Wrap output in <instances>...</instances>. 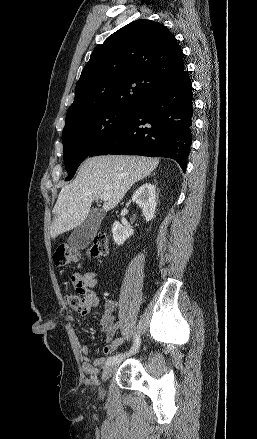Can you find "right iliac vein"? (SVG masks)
I'll use <instances>...</instances> for the list:
<instances>
[{"label": "right iliac vein", "mask_w": 257, "mask_h": 439, "mask_svg": "<svg viewBox=\"0 0 257 439\" xmlns=\"http://www.w3.org/2000/svg\"><path fill=\"white\" fill-rule=\"evenodd\" d=\"M119 362L120 361H118L114 364H110L103 369V373H102V381L103 382L110 378V376L112 375L114 370L118 367ZM100 396H104V389H102V388H100Z\"/></svg>", "instance_id": "obj_1"}]
</instances>
